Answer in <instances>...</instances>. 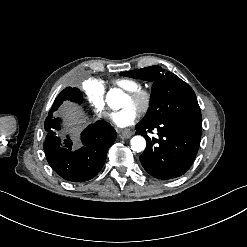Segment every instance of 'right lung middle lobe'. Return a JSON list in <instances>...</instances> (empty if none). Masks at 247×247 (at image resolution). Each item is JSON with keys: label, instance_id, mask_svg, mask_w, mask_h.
<instances>
[{"label": "right lung middle lobe", "instance_id": "obj_1", "mask_svg": "<svg viewBox=\"0 0 247 247\" xmlns=\"http://www.w3.org/2000/svg\"><path fill=\"white\" fill-rule=\"evenodd\" d=\"M75 89H76V92H77V94H78L80 100H82V94H81V92H80L77 88H75Z\"/></svg>", "mask_w": 247, "mask_h": 247}]
</instances>
